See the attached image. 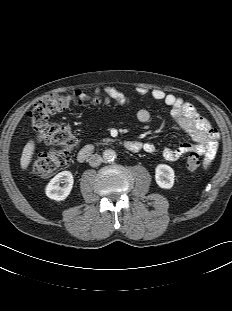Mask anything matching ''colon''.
Masks as SVG:
<instances>
[{
    "label": "colon",
    "mask_w": 232,
    "mask_h": 311,
    "mask_svg": "<svg viewBox=\"0 0 232 311\" xmlns=\"http://www.w3.org/2000/svg\"><path fill=\"white\" fill-rule=\"evenodd\" d=\"M91 99L95 102L114 99L120 100L118 93L110 88L95 90L87 94L81 90L72 92L70 95L51 94L38 99L31 110V129L38 143L51 146V150L34 158L31 162V173L38 176H48L67 165L71 159V151L76 139L69 127L51 123L49 117L57 112L67 109L70 105ZM186 166L194 171L200 166L198 154L188 156Z\"/></svg>",
    "instance_id": "colon-1"
}]
</instances>
